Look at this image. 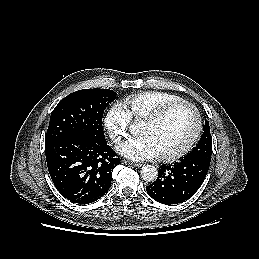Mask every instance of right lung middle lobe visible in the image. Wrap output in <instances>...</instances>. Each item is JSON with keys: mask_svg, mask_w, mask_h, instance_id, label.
Segmentation results:
<instances>
[{"mask_svg": "<svg viewBox=\"0 0 259 259\" xmlns=\"http://www.w3.org/2000/svg\"><path fill=\"white\" fill-rule=\"evenodd\" d=\"M116 98L109 89H83L66 96L51 114L45 146L71 136L104 141L103 113Z\"/></svg>", "mask_w": 259, "mask_h": 259, "instance_id": "obj_1", "label": "right lung middle lobe"}]
</instances>
